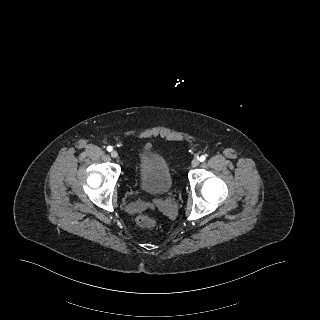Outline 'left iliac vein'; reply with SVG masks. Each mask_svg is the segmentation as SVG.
Masks as SVG:
<instances>
[{"instance_id":"obj_1","label":"left iliac vein","mask_w":320,"mask_h":320,"mask_svg":"<svg viewBox=\"0 0 320 320\" xmlns=\"http://www.w3.org/2000/svg\"><path fill=\"white\" fill-rule=\"evenodd\" d=\"M199 164H200V160L199 159L195 158V159L192 160V166L193 167H197Z\"/></svg>"}]
</instances>
